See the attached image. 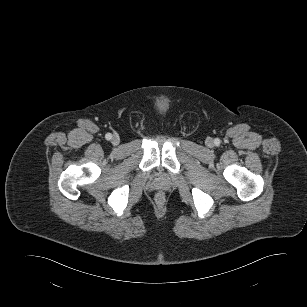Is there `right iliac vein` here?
I'll list each match as a JSON object with an SVG mask.
<instances>
[{"mask_svg":"<svg viewBox=\"0 0 307 307\" xmlns=\"http://www.w3.org/2000/svg\"><path fill=\"white\" fill-rule=\"evenodd\" d=\"M119 138L117 137V136H114L113 138H112V143L114 144V145H117V144H119Z\"/></svg>","mask_w":307,"mask_h":307,"instance_id":"63e3f726","label":"right iliac vein"}]
</instances>
